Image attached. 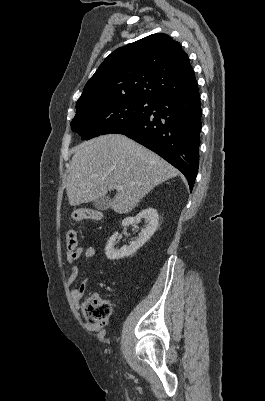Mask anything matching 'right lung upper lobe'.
<instances>
[{
    "label": "right lung upper lobe",
    "mask_w": 265,
    "mask_h": 401,
    "mask_svg": "<svg viewBox=\"0 0 265 401\" xmlns=\"http://www.w3.org/2000/svg\"><path fill=\"white\" fill-rule=\"evenodd\" d=\"M179 42L158 33L112 52L86 83L76 106L106 97L158 101L196 84Z\"/></svg>",
    "instance_id": "1"
}]
</instances>
